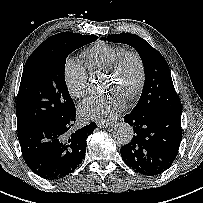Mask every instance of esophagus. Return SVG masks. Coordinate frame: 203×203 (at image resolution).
I'll return each mask as SVG.
<instances>
[{"mask_svg": "<svg viewBox=\"0 0 203 203\" xmlns=\"http://www.w3.org/2000/svg\"><path fill=\"white\" fill-rule=\"evenodd\" d=\"M97 125H98V127H100V128H108V127L113 126L114 123H104V122H99Z\"/></svg>", "mask_w": 203, "mask_h": 203, "instance_id": "1", "label": "esophagus"}]
</instances>
